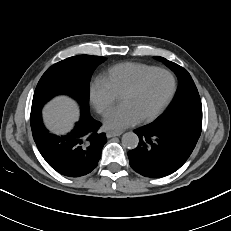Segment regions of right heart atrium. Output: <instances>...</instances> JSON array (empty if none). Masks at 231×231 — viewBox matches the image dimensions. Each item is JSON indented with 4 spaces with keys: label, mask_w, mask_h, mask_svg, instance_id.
Instances as JSON below:
<instances>
[{
    "label": "right heart atrium",
    "mask_w": 231,
    "mask_h": 231,
    "mask_svg": "<svg viewBox=\"0 0 231 231\" xmlns=\"http://www.w3.org/2000/svg\"><path fill=\"white\" fill-rule=\"evenodd\" d=\"M89 96L92 105L101 115L106 114L117 101V96L103 77H97L93 80L90 85Z\"/></svg>",
    "instance_id": "right-heart-atrium-1"
}]
</instances>
